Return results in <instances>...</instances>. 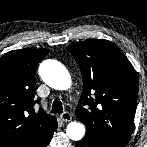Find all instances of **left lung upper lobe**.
Segmentation results:
<instances>
[{
    "instance_id": "left-lung-upper-lobe-1",
    "label": "left lung upper lobe",
    "mask_w": 147,
    "mask_h": 147,
    "mask_svg": "<svg viewBox=\"0 0 147 147\" xmlns=\"http://www.w3.org/2000/svg\"><path fill=\"white\" fill-rule=\"evenodd\" d=\"M67 48L83 77V93L75 114L86 126L85 136L105 147H126L138 97L135 69L108 40L88 39Z\"/></svg>"
}]
</instances>
